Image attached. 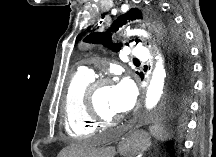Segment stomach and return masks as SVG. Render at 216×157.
<instances>
[{"label":"stomach","instance_id":"0dacf381","mask_svg":"<svg viewBox=\"0 0 216 157\" xmlns=\"http://www.w3.org/2000/svg\"><path fill=\"white\" fill-rule=\"evenodd\" d=\"M150 143V137L145 131L134 130L123 139L121 146L129 155H137L147 150Z\"/></svg>","mask_w":216,"mask_h":157}]
</instances>
